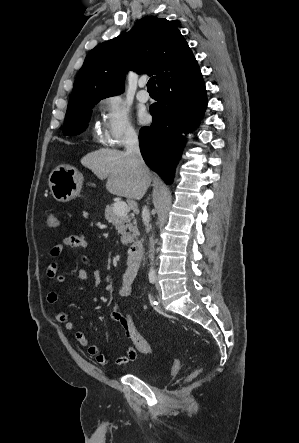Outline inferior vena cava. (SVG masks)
Here are the masks:
<instances>
[{
    "label": "inferior vena cava",
    "instance_id": "inferior-vena-cava-1",
    "mask_svg": "<svg viewBox=\"0 0 299 443\" xmlns=\"http://www.w3.org/2000/svg\"><path fill=\"white\" fill-rule=\"evenodd\" d=\"M124 143L127 155H129L132 158L134 165L140 171H142L145 168V164L140 153L138 137L134 130L129 129L126 131ZM148 213H149L148 208L144 206L142 210V215L145 217V226L147 229L149 227V221H150Z\"/></svg>",
    "mask_w": 299,
    "mask_h": 443
}]
</instances>
